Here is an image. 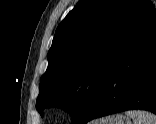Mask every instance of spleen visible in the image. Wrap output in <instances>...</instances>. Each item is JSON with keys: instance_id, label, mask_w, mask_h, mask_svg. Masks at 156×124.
<instances>
[{"instance_id": "1", "label": "spleen", "mask_w": 156, "mask_h": 124, "mask_svg": "<svg viewBox=\"0 0 156 124\" xmlns=\"http://www.w3.org/2000/svg\"><path fill=\"white\" fill-rule=\"evenodd\" d=\"M125 114L133 119V124H156V115L147 111H126Z\"/></svg>"}]
</instances>
